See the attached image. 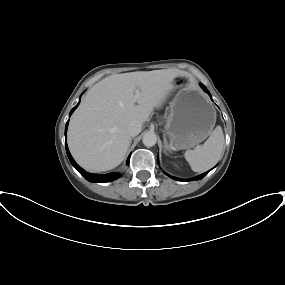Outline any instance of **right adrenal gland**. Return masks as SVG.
I'll use <instances>...</instances> for the list:
<instances>
[{
  "label": "right adrenal gland",
  "mask_w": 285,
  "mask_h": 285,
  "mask_svg": "<svg viewBox=\"0 0 285 285\" xmlns=\"http://www.w3.org/2000/svg\"><path fill=\"white\" fill-rule=\"evenodd\" d=\"M132 140H133V138H130V143H129V146L131 145V143H132Z\"/></svg>",
  "instance_id": "1"
}]
</instances>
